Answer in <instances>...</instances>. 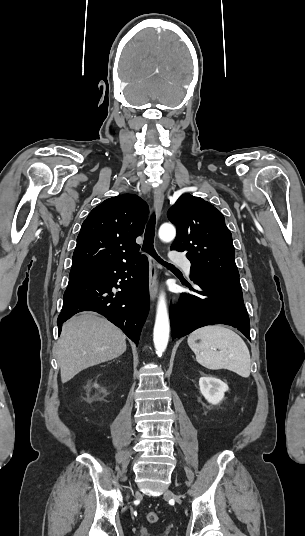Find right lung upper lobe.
<instances>
[{
    "mask_svg": "<svg viewBox=\"0 0 305 536\" xmlns=\"http://www.w3.org/2000/svg\"><path fill=\"white\" fill-rule=\"evenodd\" d=\"M149 208L134 194L105 200L83 222L70 276L137 258L135 239L143 233Z\"/></svg>",
    "mask_w": 305,
    "mask_h": 536,
    "instance_id": "cb5924a9",
    "label": "right lung upper lobe"
}]
</instances>
